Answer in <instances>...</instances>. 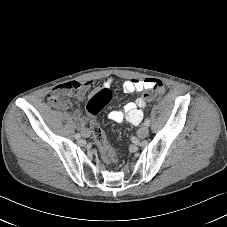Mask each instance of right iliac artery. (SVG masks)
Returning a JSON list of instances; mask_svg holds the SVG:
<instances>
[{
    "instance_id": "obj_1",
    "label": "right iliac artery",
    "mask_w": 227,
    "mask_h": 227,
    "mask_svg": "<svg viewBox=\"0 0 227 227\" xmlns=\"http://www.w3.org/2000/svg\"><path fill=\"white\" fill-rule=\"evenodd\" d=\"M75 139H80V134L79 133L75 134Z\"/></svg>"
}]
</instances>
